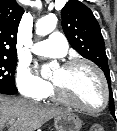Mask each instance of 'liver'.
Masks as SVG:
<instances>
[{
	"mask_svg": "<svg viewBox=\"0 0 117 131\" xmlns=\"http://www.w3.org/2000/svg\"><path fill=\"white\" fill-rule=\"evenodd\" d=\"M66 112L69 111L0 95V131L10 121H14L10 131H35L53 117Z\"/></svg>",
	"mask_w": 117,
	"mask_h": 131,
	"instance_id": "obj_1",
	"label": "liver"
}]
</instances>
